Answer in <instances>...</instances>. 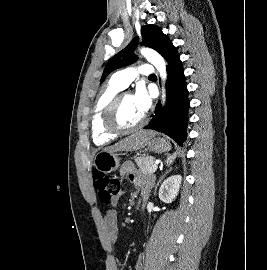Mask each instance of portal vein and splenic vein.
<instances>
[{
    "label": "portal vein and splenic vein",
    "instance_id": "1",
    "mask_svg": "<svg viewBox=\"0 0 267 270\" xmlns=\"http://www.w3.org/2000/svg\"><path fill=\"white\" fill-rule=\"evenodd\" d=\"M158 167V162L155 163L153 169L151 170V173L155 172V170L157 169Z\"/></svg>",
    "mask_w": 267,
    "mask_h": 270
}]
</instances>
